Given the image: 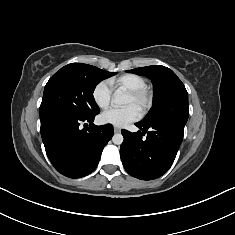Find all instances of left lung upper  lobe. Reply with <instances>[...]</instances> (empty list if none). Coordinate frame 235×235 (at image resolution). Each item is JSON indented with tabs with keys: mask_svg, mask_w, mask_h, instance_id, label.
Returning <instances> with one entry per match:
<instances>
[{
	"mask_svg": "<svg viewBox=\"0 0 235 235\" xmlns=\"http://www.w3.org/2000/svg\"><path fill=\"white\" fill-rule=\"evenodd\" d=\"M127 72L146 76L153 82V106L140 123L177 120L186 124L189 116L188 93L184 84L171 69L162 65H152Z\"/></svg>",
	"mask_w": 235,
	"mask_h": 235,
	"instance_id": "5c2ea615",
	"label": "left lung upper lobe"
}]
</instances>
